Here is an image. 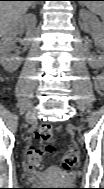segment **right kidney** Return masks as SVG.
Listing matches in <instances>:
<instances>
[{
	"label": "right kidney",
	"instance_id": "1",
	"mask_svg": "<svg viewBox=\"0 0 104 189\" xmlns=\"http://www.w3.org/2000/svg\"><path fill=\"white\" fill-rule=\"evenodd\" d=\"M36 24V17L32 14L24 15L19 18L16 23L10 28V30L3 35L0 41V64L2 67L9 71H16L22 63V58L18 56L17 47L13 44V40L17 34L24 29H34ZM30 42V38H25L22 43L24 45ZM12 51H16L15 55H11Z\"/></svg>",
	"mask_w": 104,
	"mask_h": 189
}]
</instances>
